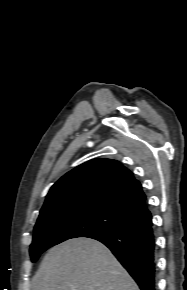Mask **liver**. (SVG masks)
Here are the masks:
<instances>
[{"label": "liver", "mask_w": 187, "mask_h": 290, "mask_svg": "<svg viewBox=\"0 0 187 290\" xmlns=\"http://www.w3.org/2000/svg\"><path fill=\"white\" fill-rule=\"evenodd\" d=\"M32 290H140L111 251L97 240L69 239L43 258Z\"/></svg>", "instance_id": "liver-1"}]
</instances>
